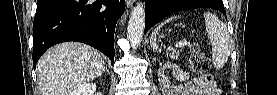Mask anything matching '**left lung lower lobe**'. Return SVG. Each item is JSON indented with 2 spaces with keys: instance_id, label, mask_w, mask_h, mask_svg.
I'll return each mask as SVG.
<instances>
[{
  "instance_id": "left-lung-lower-lobe-1",
  "label": "left lung lower lobe",
  "mask_w": 277,
  "mask_h": 95,
  "mask_svg": "<svg viewBox=\"0 0 277 95\" xmlns=\"http://www.w3.org/2000/svg\"><path fill=\"white\" fill-rule=\"evenodd\" d=\"M179 1L180 0H145V33L165 17L181 10L212 8L226 15L222 0H197L200 4L197 7L181 6L179 5Z\"/></svg>"
}]
</instances>
